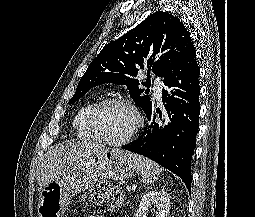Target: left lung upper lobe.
<instances>
[{"label":"left lung upper lobe","instance_id":"left-lung-upper-lobe-1","mask_svg":"<svg viewBox=\"0 0 255 217\" xmlns=\"http://www.w3.org/2000/svg\"><path fill=\"white\" fill-rule=\"evenodd\" d=\"M193 45L183 23L167 12H155L119 39L108 43L90 63L80 79L71 100L80 99L91 88L114 83L127 85L131 97L147 115L152 102L139 81L134 79L139 69L148 68L159 77L175 68L182 56ZM147 82H142L147 86ZM147 94V92H145Z\"/></svg>","mask_w":255,"mask_h":217}]
</instances>
